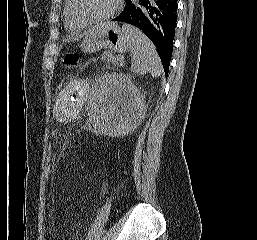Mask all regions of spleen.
I'll use <instances>...</instances> for the list:
<instances>
[{
  "label": "spleen",
  "mask_w": 257,
  "mask_h": 240,
  "mask_svg": "<svg viewBox=\"0 0 257 240\" xmlns=\"http://www.w3.org/2000/svg\"><path fill=\"white\" fill-rule=\"evenodd\" d=\"M123 29L127 32L128 47L132 53L131 71L140 75L150 73L153 77H159L163 67L153 43L135 27L124 25Z\"/></svg>",
  "instance_id": "obj_1"
}]
</instances>
